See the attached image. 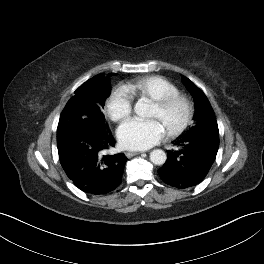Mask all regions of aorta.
I'll list each match as a JSON object with an SVG mask.
<instances>
[{
    "label": "aorta",
    "instance_id": "762f6f07",
    "mask_svg": "<svg viewBox=\"0 0 264 264\" xmlns=\"http://www.w3.org/2000/svg\"><path fill=\"white\" fill-rule=\"evenodd\" d=\"M149 105L145 102L138 101L134 106V112L141 117L148 115ZM166 153L161 149L153 150L150 153V161L155 165H163L166 162Z\"/></svg>",
    "mask_w": 264,
    "mask_h": 264
}]
</instances>
